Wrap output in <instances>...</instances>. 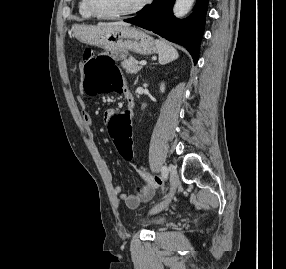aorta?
I'll list each match as a JSON object with an SVG mask.
<instances>
[{
    "label": "aorta",
    "instance_id": "1",
    "mask_svg": "<svg viewBox=\"0 0 286 269\" xmlns=\"http://www.w3.org/2000/svg\"><path fill=\"white\" fill-rule=\"evenodd\" d=\"M195 0H176L173 13L176 17L182 18L191 10Z\"/></svg>",
    "mask_w": 286,
    "mask_h": 269
}]
</instances>
